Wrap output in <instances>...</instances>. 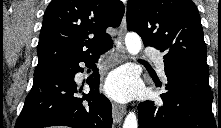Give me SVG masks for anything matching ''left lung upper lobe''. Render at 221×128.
Returning a JSON list of instances; mask_svg holds the SVG:
<instances>
[{
    "label": "left lung upper lobe",
    "instance_id": "1",
    "mask_svg": "<svg viewBox=\"0 0 221 128\" xmlns=\"http://www.w3.org/2000/svg\"><path fill=\"white\" fill-rule=\"evenodd\" d=\"M127 29L164 59L208 71L203 29L191 0H128Z\"/></svg>",
    "mask_w": 221,
    "mask_h": 128
}]
</instances>
